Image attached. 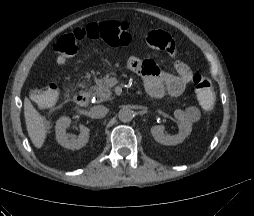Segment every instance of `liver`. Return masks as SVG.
I'll return each instance as SVG.
<instances>
[{
  "label": "liver",
  "mask_w": 254,
  "mask_h": 216,
  "mask_svg": "<svg viewBox=\"0 0 254 216\" xmlns=\"http://www.w3.org/2000/svg\"><path fill=\"white\" fill-rule=\"evenodd\" d=\"M24 117L28 135L36 148H41L47 135V122L28 98L24 100Z\"/></svg>",
  "instance_id": "liver-1"
}]
</instances>
